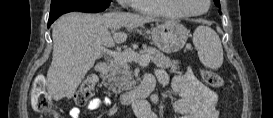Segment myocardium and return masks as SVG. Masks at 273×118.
Wrapping results in <instances>:
<instances>
[{"label": "myocardium", "mask_w": 273, "mask_h": 118, "mask_svg": "<svg viewBox=\"0 0 273 118\" xmlns=\"http://www.w3.org/2000/svg\"><path fill=\"white\" fill-rule=\"evenodd\" d=\"M174 8H176L182 15L189 17H196L205 14L210 8V0H204L206 8L202 11H190L187 9L186 4L183 0H171Z\"/></svg>", "instance_id": "f54148a6"}]
</instances>
